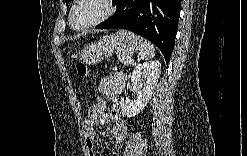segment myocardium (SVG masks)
I'll use <instances>...</instances> for the list:
<instances>
[{
    "label": "myocardium",
    "mask_w": 247,
    "mask_h": 156,
    "mask_svg": "<svg viewBox=\"0 0 247 156\" xmlns=\"http://www.w3.org/2000/svg\"><path fill=\"white\" fill-rule=\"evenodd\" d=\"M83 1H86V0L75 1L71 10H70L69 24L74 30H85V29H89L91 27L97 26L100 23H102L103 21H105L106 19H108L114 13L115 7H114V2L112 0H98V1L102 2V4L105 6V12L96 20H94L88 24H85L83 26H77L73 23V15H74L76 7Z\"/></svg>",
    "instance_id": "1"
}]
</instances>
